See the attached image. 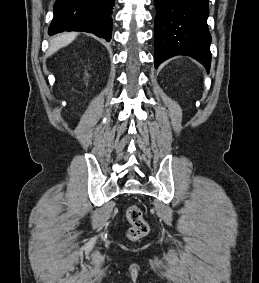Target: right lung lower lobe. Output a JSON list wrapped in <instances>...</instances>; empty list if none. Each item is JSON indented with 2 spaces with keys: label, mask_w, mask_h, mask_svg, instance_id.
Masks as SVG:
<instances>
[{
  "label": "right lung lower lobe",
  "mask_w": 259,
  "mask_h": 283,
  "mask_svg": "<svg viewBox=\"0 0 259 283\" xmlns=\"http://www.w3.org/2000/svg\"><path fill=\"white\" fill-rule=\"evenodd\" d=\"M114 0H56L48 34L83 31L111 39Z\"/></svg>",
  "instance_id": "right-lung-lower-lobe-1"
}]
</instances>
